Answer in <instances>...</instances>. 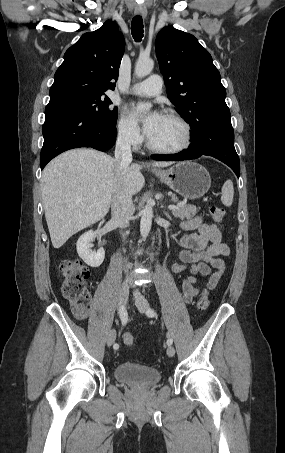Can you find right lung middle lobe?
<instances>
[{
	"label": "right lung middle lobe",
	"instance_id": "dd1d6c3e",
	"mask_svg": "<svg viewBox=\"0 0 285 453\" xmlns=\"http://www.w3.org/2000/svg\"><path fill=\"white\" fill-rule=\"evenodd\" d=\"M62 98L79 106L100 125L110 127L116 124L117 107L112 108V101L103 94L72 92Z\"/></svg>",
	"mask_w": 285,
	"mask_h": 453
}]
</instances>
